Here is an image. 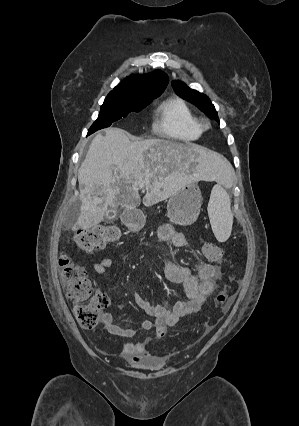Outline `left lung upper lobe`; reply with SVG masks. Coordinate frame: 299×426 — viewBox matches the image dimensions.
<instances>
[{
  "instance_id": "left-lung-upper-lobe-1",
  "label": "left lung upper lobe",
  "mask_w": 299,
  "mask_h": 426,
  "mask_svg": "<svg viewBox=\"0 0 299 426\" xmlns=\"http://www.w3.org/2000/svg\"><path fill=\"white\" fill-rule=\"evenodd\" d=\"M172 86L180 97L194 103L200 110L205 112L208 117L219 122L215 107L206 95L187 87L186 84L180 81H173Z\"/></svg>"
}]
</instances>
